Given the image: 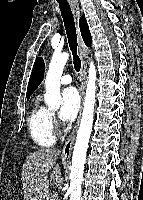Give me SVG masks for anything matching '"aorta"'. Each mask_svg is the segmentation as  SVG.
I'll return each instance as SVG.
<instances>
[{
	"instance_id": "1",
	"label": "aorta",
	"mask_w": 143,
	"mask_h": 200,
	"mask_svg": "<svg viewBox=\"0 0 143 200\" xmlns=\"http://www.w3.org/2000/svg\"><path fill=\"white\" fill-rule=\"evenodd\" d=\"M68 59L69 54L67 52L55 53L49 64L45 80L46 93L44 95V100L46 105L51 109H56L61 104L62 98L60 95V79L63 68ZM96 79V68L94 63L91 61L88 71L82 118L72 156L70 174L71 183L69 188L70 200H80L81 197L84 164L94 119L95 94L97 88Z\"/></svg>"
}]
</instances>
